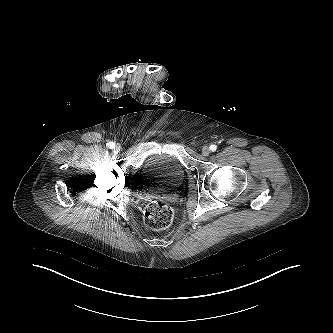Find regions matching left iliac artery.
Here are the masks:
<instances>
[{
    "mask_svg": "<svg viewBox=\"0 0 333 333\" xmlns=\"http://www.w3.org/2000/svg\"><path fill=\"white\" fill-rule=\"evenodd\" d=\"M216 149H217V146H216V145L212 144V145L210 146V150H211L212 152L216 151Z\"/></svg>",
    "mask_w": 333,
    "mask_h": 333,
    "instance_id": "left-iliac-artery-1",
    "label": "left iliac artery"
}]
</instances>
